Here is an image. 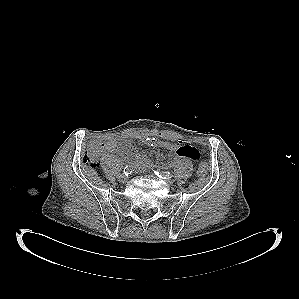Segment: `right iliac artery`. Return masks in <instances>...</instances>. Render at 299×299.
<instances>
[{"mask_svg":"<svg viewBox=\"0 0 299 299\" xmlns=\"http://www.w3.org/2000/svg\"><path fill=\"white\" fill-rule=\"evenodd\" d=\"M135 168H136V167H135V165H133V164H131V165H127V166L124 168V172H123V174L127 176V175L131 174V173L134 171Z\"/></svg>","mask_w":299,"mask_h":299,"instance_id":"obj_1","label":"right iliac artery"}]
</instances>
